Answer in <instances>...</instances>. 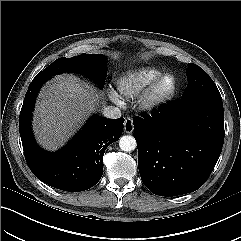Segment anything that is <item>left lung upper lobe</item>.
Segmentation results:
<instances>
[{"instance_id":"5c2ea615","label":"left lung upper lobe","mask_w":241,"mask_h":241,"mask_svg":"<svg viewBox=\"0 0 241 241\" xmlns=\"http://www.w3.org/2000/svg\"><path fill=\"white\" fill-rule=\"evenodd\" d=\"M188 84L182 95L183 98L210 96L221 98L219 90L210 76L196 64H188Z\"/></svg>"}]
</instances>
